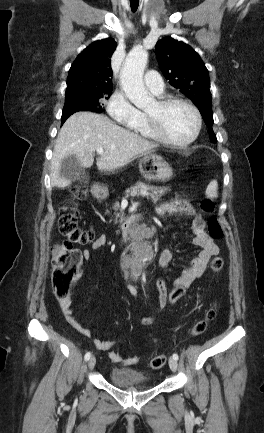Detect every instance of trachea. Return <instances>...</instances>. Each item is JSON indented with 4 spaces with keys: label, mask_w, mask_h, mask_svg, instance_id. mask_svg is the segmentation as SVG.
<instances>
[{
    "label": "trachea",
    "mask_w": 264,
    "mask_h": 433,
    "mask_svg": "<svg viewBox=\"0 0 264 433\" xmlns=\"http://www.w3.org/2000/svg\"><path fill=\"white\" fill-rule=\"evenodd\" d=\"M130 6L132 12H136L139 6V0H130Z\"/></svg>",
    "instance_id": "obj_1"
}]
</instances>
